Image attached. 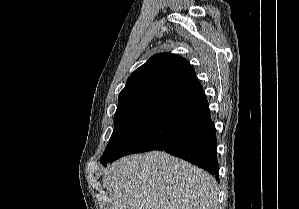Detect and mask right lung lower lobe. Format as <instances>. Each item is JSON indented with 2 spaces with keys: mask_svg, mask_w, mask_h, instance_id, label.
Wrapping results in <instances>:
<instances>
[{
  "mask_svg": "<svg viewBox=\"0 0 299 209\" xmlns=\"http://www.w3.org/2000/svg\"><path fill=\"white\" fill-rule=\"evenodd\" d=\"M151 150L165 151L184 159L219 181L215 127L197 78L162 102L128 144L103 165L125 155Z\"/></svg>",
  "mask_w": 299,
  "mask_h": 209,
  "instance_id": "right-lung-lower-lobe-1",
  "label": "right lung lower lobe"
}]
</instances>
